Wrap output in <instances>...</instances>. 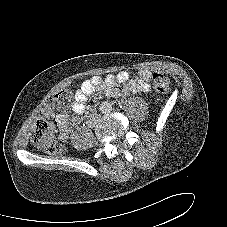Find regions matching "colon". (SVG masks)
<instances>
[{"label": "colon", "mask_w": 227, "mask_h": 227, "mask_svg": "<svg viewBox=\"0 0 227 227\" xmlns=\"http://www.w3.org/2000/svg\"><path fill=\"white\" fill-rule=\"evenodd\" d=\"M153 84L159 93L166 94L172 89L171 79L164 74H154ZM71 97L69 91H60L44 100L41 105V116L36 119L32 133V143L36 148L49 154H59L63 151V145L58 141L54 128L47 118L56 110L67 108Z\"/></svg>", "instance_id": "1"}]
</instances>
